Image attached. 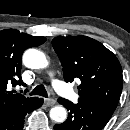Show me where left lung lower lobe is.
<instances>
[{"instance_id": "0a47b994", "label": "left lung lower lobe", "mask_w": 130, "mask_h": 130, "mask_svg": "<svg viewBox=\"0 0 130 130\" xmlns=\"http://www.w3.org/2000/svg\"><path fill=\"white\" fill-rule=\"evenodd\" d=\"M58 102L69 110L64 123L54 126V130H102L113 113L87 101L78 100L77 104L58 98Z\"/></svg>"}]
</instances>
